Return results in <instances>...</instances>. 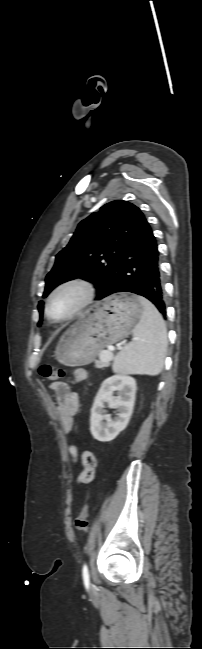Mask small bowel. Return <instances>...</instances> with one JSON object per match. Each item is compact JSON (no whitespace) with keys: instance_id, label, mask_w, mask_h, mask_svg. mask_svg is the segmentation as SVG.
<instances>
[{"instance_id":"obj_1","label":"small bowel","mask_w":202,"mask_h":649,"mask_svg":"<svg viewBox=\"0 0 202 649\" xmlns=\"http://www.w3.org/2000/svg\"><path fill=\"white\" fill-rule=\"evenodd\" d=\"M86 374L82 369L77 370L73 375V383L78 385L85 380ZM51 389L55 394V409L62 424L65 433H70L74 425V417L78 411L79 398L78 394L71 390L68 384L64 382H54ZM68 454L76 464L81 460L83 470L78 476L79 484L91 483L95 477L97 462L90 451L80 452L78 447L73 444L68 448Z\"/></svg>"}]
</instances>
